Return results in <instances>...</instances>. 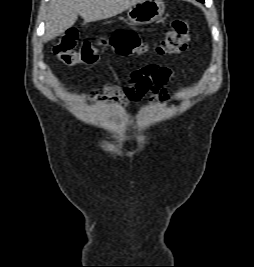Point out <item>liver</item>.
Instances as JSON below:
<instances>
[{"instance_id":"obj_1","label":"liver","mask_w":254,"mask_h":267,"mask_svg":"<svg viewBox=\"0 0 254 267\" xmlns=\"http://www.w3.org/2000/svg\"><path fill=\"white\" fill-rule=\"evenodd\" d=\"M142 0H51L43 41L47 42L72 27L78 14L84 22L116 16Z\"/></svg>"}]
</instances>
